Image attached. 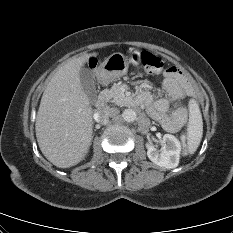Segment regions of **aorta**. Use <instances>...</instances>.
<instances>
[{"instance_id":"1","label":"aorta","mask_w":233,"mask_h":233,"mask_svg":"<svg viewBox=\"0 0 233 233\" xmlns=\"http://www.w3.org/2000/svg\"><path fill=\"white\" fill-rule=\"evenodd\" d=\"M137 114L134 110L132 109H125L122 112V118L126 121V122H133L136 120Z\"/></svg>"}]
</instances>
